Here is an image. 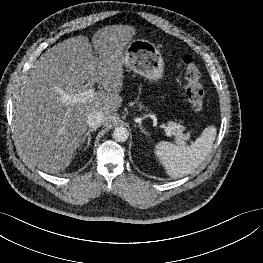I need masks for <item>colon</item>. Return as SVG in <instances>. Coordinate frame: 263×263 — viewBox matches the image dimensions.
Here are the masks:
<instances>
[{
    "mask_svg": "<svg viewBox=\"0 0 263 263\" xmlns=\"http://www.w3.org/2000/svg\"><path fill=\"white\" fill-rule=\"evenodd\" d=\"M182 63L185 70V97L192 109L203 115L205 106V93L201 84V72L192 55L186 54Z\"/></svg>",
    "mask_w": 263,
    "mask_h": 263,
    "instance_id": "obj_1",
    "label": "colon"
}]
</instances>
